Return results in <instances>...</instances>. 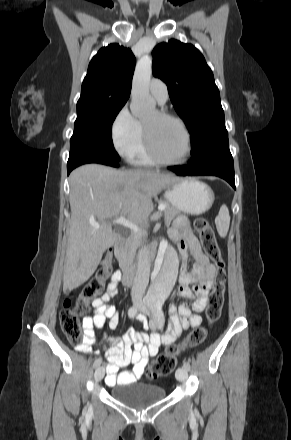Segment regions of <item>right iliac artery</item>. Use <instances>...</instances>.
I'll return each mask as SVG.
<instances>
[{"label":"right iliac artery","mask_w":291,"mask_h":440,"mask_svg":"<svg viewBox=\"0 0 291 440\" xmlns=\"http://www.w3.org/2000/svg\"><path fill=\"white\" fill-rule=\"evenodd\" d=\"M137 313H138V311H137V308L136 307H130L129 308V310H128V316L130 317V318H134L136 315H137ZM101 362H102V359L101 358H97L95 361H94V364H93V366L96 368V367H99L100 366V364H101Z\"/></svg>","instance_id":"obj_1"}]
</instances>
